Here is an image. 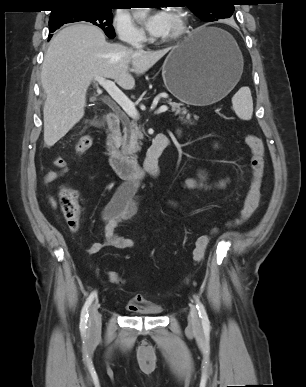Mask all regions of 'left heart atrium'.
Instances as JSON below:
<instances>
[{
  "label": "left heart atrium",
  "instance_id": "1",
  "mask_svg": "<svg viewBox=\"0 0 306 387\" xmlns=\"http://www.w3.org/2000/svg\"><path fill=\"white\" fill-rule=\"evenodd\" d=\"M147 31L154 37H166L170 30V14L165 11H158L145 20Z\"/></svg>",
  "mask_w": 306,
  "mask_h": 387
}]
</instances>
